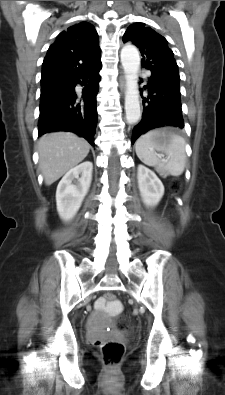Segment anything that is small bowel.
<instances>
[{
  "label": "small bowel",
  "mask_w": 225,
  "mask_h": 395,
  "mask_svg": "<svg viewBox=\"0 0 225 395\" xmlns=\"http://www.w3.org/2000/svg\"><path fill=\"white\" fill-rule=\"evenodd\" d=\"M95 307L99 312H106L107 315H125V304L123 300H111L110 304L107 303L105 297L99 298L96 303Z\"/></svg>",
  "instance_id": "1"
}]
</instances>
